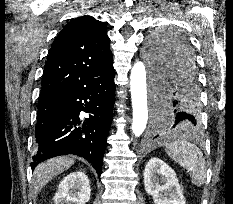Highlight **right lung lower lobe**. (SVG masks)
Listing matches in <instances>:
<instances>
[{
    "mask_svg": "<svg viewBox=\"0 0 233 204\" xmlns=\"http://www.w3.org/2000/svg\"><path fill=\"white\" fill-rule=\"evenodd\" d=\"M115 71L93 74L70 89L40 99L39 106L56 111L58 119L39 136L37 149L31 162L34 168L46 159L74 154L88 160L98 175L102 172L106 139L110 130L115 99ZM80 111L89 118L78 127Z\"/></svg>",
    "mask_w": 233,
    "mask_h": 204,
    "instance_id": "98d812e1",
    "label": "right lung lower lobe"
}]
</instances>
